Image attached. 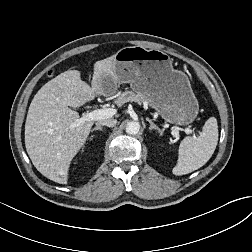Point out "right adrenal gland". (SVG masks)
I'll return each mask as SVG.
<instances>
[{
	"label": "right adrenal gland",
	"instance_id": "2a0ac1e0",
	"mask_svg": "<svg viewBox=\"0 0 252 252\" xmlns=\"http://www.w3.org/2000/svg\"><path fill=\"white\" fill-rule=\"evenodd\" d=\"M102 129H103V127L97 126V127L93 128L91 131L93 132V131L102 130Z\"/></svg>",
	"mask_w": 252,
	"mask_h": 252
}]
</instances>
